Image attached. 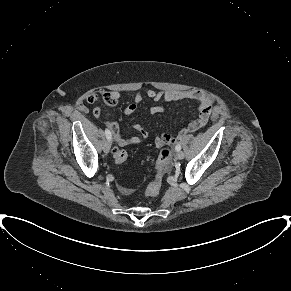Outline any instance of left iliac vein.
<instances>
[{
    "label": "left iliac vein",
    "instance_id": "obj_1",
    "mask_svg": "<svg viewBox=\"0 0 291 291\" xmlns=\"http://www.w3.org/2000/svg\"><path fill=\"white\" fill-rule=\"evenodd\" d=\"M176 158L179 159V160H182L184 158V152L178 151L176 153Z\"/></svg>",
    "mask_w": 291,
    "mask_h": 291
}]
</instances>
